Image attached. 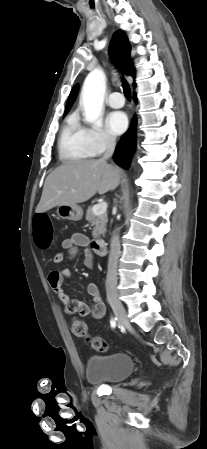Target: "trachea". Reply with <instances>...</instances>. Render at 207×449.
Masks as SVG:
<instances>
[{"label":"trachea","instance_id":"3493384b","mask_svg":"<svg viewBox=\"0 0 207 449\" xmlns=\"http://www.w3.org/2000/svg\"><path fill=\"white\" fill-rule=\"evenodd\" d=\"M123 81V92H124V95H125V97L128 99V100H131V89H130V86H129V84L123 79L122 80Z\"/></svg>","mask_w":207,"mask_h":449}]
</instances>
